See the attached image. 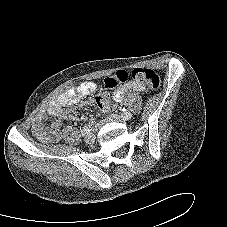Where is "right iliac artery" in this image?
Wrapping results in <instances>:
<instances>
[{
    "mask_svg": "<svg viewBox=\"0 0 227 227\" xmlns=\"http://www.w3.org/2000/svg\"><path fill=\"white\" fill-rule=\"evenodd\" d=\"M90 125H85L82 129H81V134L82 136H85L89 131H90Z\"/></svg>",
    "mask_w": 227,
    "mask_h": 227,
    "instance_id": "right-iliac-artery-1",
    "label": "right iliac artery"
}]
</instances>
